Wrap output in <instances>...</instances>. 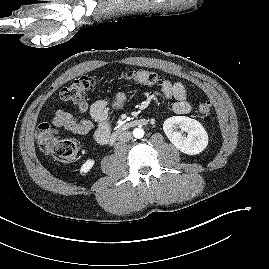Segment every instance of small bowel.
<instances>
[{
    "mask_svg": "<svg viewBox=\"0 0 269 269\" xmlns=\"http://www.w3.org/2000/svg\"><path fill=\"white\" fill-rule=\"evenodd\" d=\"M162 94L166 100H175L172 110L176 114L185 115L191 111V104L188 101L184 85L180 82L164 81ZM125 103V95L117 93L112 102L111 108L120 110ZM78 117H74L69 112L58 109L53 118V124L64 128L75 135H87L94 132V138L99 144H106L110 135V126L108 122L109 106L106 101L98 100L92 105L86 101H80L76 104ZM89 112L91 119L84 118L83 115Z\"/></svg>",
    "mask_w": 269,
    "mask_h": 269,
    "instance_id": "small-bowel-1",
    "label": "small bowel"
}]
</instances>
